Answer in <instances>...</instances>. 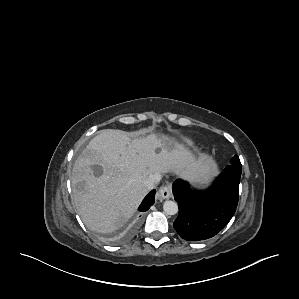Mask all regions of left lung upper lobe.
Instances as JSON below:
<instances>
[{
	"instance_id": "5c2ea615",
	"label": "left lung upper lobe",
	"mask_w": 299,
	"mask_h": 299,
	"mask_svg": "<svg viewBox=\"0 0 299 299\" xmlns=\"http://www.w3.org/2000/svg\"><path fill=\"white\" fill-rule=\"evenodd\" d=\"M224 171L227 172H232L238 175H241L242 172V166H241V162L240 159L237 155H235L232 160H231V165H229L228 167H226L224 169Z\"/></svg>"
}]
</instances>
